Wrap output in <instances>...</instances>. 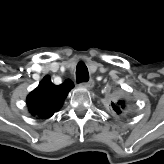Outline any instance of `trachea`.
Instances as JSON below:
<instances>
[{
	"label": "trachea",
	"instance_id": "obj_1",
	"mask_svg": "<svg viewBox=\"0 0 164 164\" xmlns=\"http://www.w3.org/2000/svg\"><path fill=\"white\" fill-rule=\"evenodd\" d=\"M89 80V73L84 62H79L76 69L77 83L86 82Z\"/></svg>",
	"mask_w": 164,
	"mask_h": 164
}]
</instances>
